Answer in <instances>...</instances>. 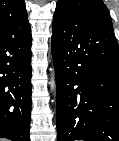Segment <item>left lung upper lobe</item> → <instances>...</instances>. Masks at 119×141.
I'll list each match as a JSON object with an SVG mask.
<instances>
[{
  "mask_svg": "<svg viewBox=\"0 0 119 141\" xmlns=\"http://www.w3.org/2000/svg\"><path fill=\"white\" fill-rule=\"evenodd\" d=\"M55 12L112 23L110 13L102 0H58Z\"/></svg>",
  "mask_w": 119,
  "mask_h": 141,
  "instance_id": "obj_1",
  "label": "left lung upper lobe"
}]
</instances>
